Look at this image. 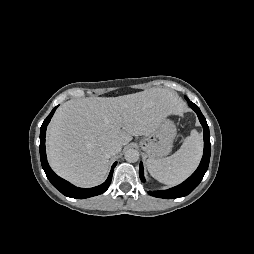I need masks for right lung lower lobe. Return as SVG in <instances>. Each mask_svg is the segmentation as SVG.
Wrapping results in <instances>:
<instances>
[{
  "label": "right lung lower lobe",
  "mask_w": 254,
  "mask_h": 254,
  "mask_svg": "<svg viewBox=\"0 0 254 254\" xmlns=\"http://www.w3.org/2000/svg\"><path fill=\"white\" fill-rule=\"evenodd\" d=\"M57 107L58 106H56L51 111V113L48 115V117L44 120V122L41 126V130H40V159H41V164H42V167L45 171L47 178L49 179L51 184L56 189H58L63 195H65L67 197L84 199V198H89L92 196H97L99 194H102L103 192H105L108 189V187L111 183L113 170H114L117 162H115L112 165V168H111V171H110V174H109L107 180L103 184H101L97 187H93V188L75 187L74 185L70 184L66 180L57 176L50 168V166L47 162L46 151H45V135H46L47 125L50 122V119L52 118Z\"/></svg>",
  "instance_id": "obj_1"
}]
</instances>
